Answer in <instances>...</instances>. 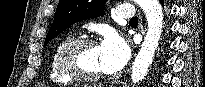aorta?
<instances>
[{
  "label": "aorta",
  "instance_id": "1",
  "mask_svg": "<svg viewBox=\"0 0 205 87\" xmlns=\"http://www.w3.org/2000/svg\"><path fill=\"white\" fill-rule=\"evenodd\" d=\"M136 2L146 15L148 29L132 67L131 80L133 84H138L145 78L163 28V12L158 0H136Z\"/></svg>",
  "mask_w": 205,
  "mask_h": 87
}]
</instances>
